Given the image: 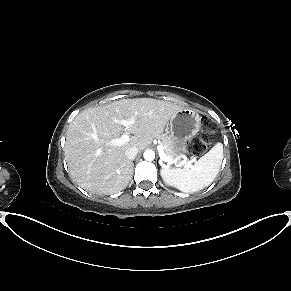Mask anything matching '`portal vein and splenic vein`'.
Here are the masks:
<instances>
[{"mask_svg": "<svg viewBox=\"0 0 291 291\" xmlns=\"http://www.w3.org/2000/svg\"><path fill=\"white\" fill-rule=\"evenodd\" d=\"M132 122H133V120H130V121H127V120H119L118 121V123H120L123 126H127L129 124H132ZM92 137L94 139H96L97 138L96 133H94L92 135ZM128 141H129V135H128V133H124L120 138L112 139L111 140V143L113 145L119 146V145L124 144V143H126ZM157 150H158L159 156H160V158L162 160L168 161V162H172V159L170 157H168V156L165 155L164 150H163V148H162L161 145L157 146Z\"/></svg>", "mask_w": 291, "mask_h": 291, "instance_id": "18ae733b", "label": "portal vein and splenic vein"}]
</instances>
